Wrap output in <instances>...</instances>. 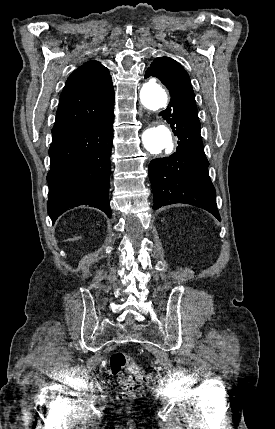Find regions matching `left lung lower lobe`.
I'll return each instance as SVG.
<instances>
[{
	"instance_id": "0a47b994",
	"label": "left lung lower lobe",
	"mask_w": 275,
	"mask_h": 429,
	"mask_svg": "<svg viewBox=\"0 0 275 429\" xmlns=\"http://www.w3.org/2000/svg\"><path fill=\"white\" fill-rule=\"evenodd\" d=\"M149 76L152 75L147 72L145 78ZM165 86L170 91L171 103L160 115L170 124L179 142L175 153L154 159L149 165L153 209L186 203L209 211L221 221L215 189L208 174L209 162L200 136L193 89L187 84Z\"/></svg>"
}]
</instances>
